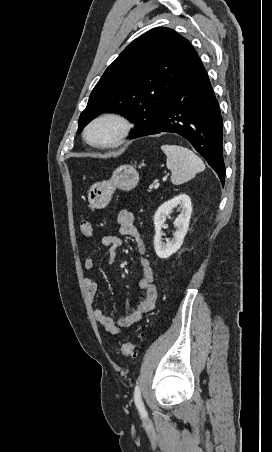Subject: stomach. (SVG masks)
<instances>
[{
	"label": "stomach",
	"mask_w": 272,
	"mask_h": 452,
	"mask_svg": "<svg viewBox=\"0 0 272 452\" xmlns=\"http://www.w3.org/2000/svg\"><path fill=\"white\" fill-rule=\"evenodd\" d=\"M139 182V173L132 165H121L116 168L107 181L93 184L87 191V199L91 208L106 207L116 189L129 191Z\"/></svg>",
	"instance_id": "stomach-1"
}]
</instances>
